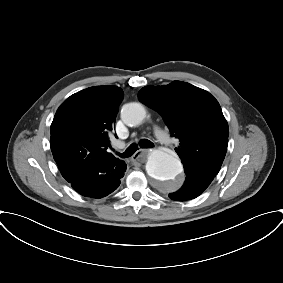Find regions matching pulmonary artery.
<instances>
[{
  "label": "pulmonary artery",
  "mask_w": 283,
  "mask_h": 283,
  "mask_svg": "<svg viewBox=\"0 0 283 283\" xmlns=\"http://www.w3.org/2000/svg\"><path fill=\"white\" fill-rule=\"evenodd\" d=\"M164 139L167 141V142H170V139L166 136H164Z\"/></svg>",
  "instance_id": "1"
}]
</instances>
